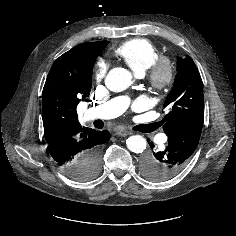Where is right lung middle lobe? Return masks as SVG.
Instances as JSON below:
<instances>
[{"instance_id":"obj_1","label":"right lung middle lobe","mask_w":236,"mask_h":236,"mask_svg":"<svg viewBox=\"0 0 236 236\" xmlns=\"http://www.w3.org/2000/svg\"><path fill=\"white\" fill-rule=\"evenodd\" d=\"M101 167V157L99 155L90 153L86 157L82 168L81 175L77 177V180H88L94 178L100 171Z\"/></svg>"}]
</instances>
